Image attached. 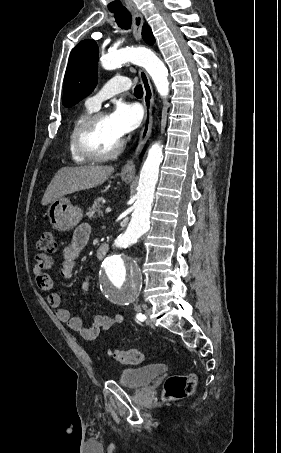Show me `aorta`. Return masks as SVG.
<instances>
[{
	"label": "aorta",
	"mask_w": 281,
	"mask_h": 453,
	"mask_svg": "<svg viewBox=\"0 0 281 453\" xmlns=\"http://www.w3.org/2000/svg\"><path fill=\"white\" fill-rule=\"evenodd\" d=\"M127 62L143 67L152 78L160 96H168V69L150 49L124 48L101 57V65L106 70L115 69ZM162 149L163 146L156 142L148 150L140 172L134 212L126 231L115 240L117 247H127L136 243L150 229L155 186L159 166L163 160ZM99 283L101 292L111 303L127 304L133 302L140 292L141 270L130 257L111 254L102 263Z\"/></svg>",
	"instance_id": "762f6f07"
}]
</instances>
